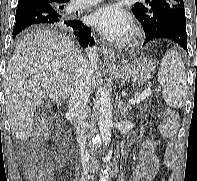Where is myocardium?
I'll list each match as a JSON object with an SVG mask.
<instances>
[{
    "instance_id": "f54148a6",
    "label": "myocardium",
    "mask_w": 197,
    "mask_h": 181,
    "mask_svg": "<svg viewBox=\"0 0 197 181\" xmlns=\"http://www.w3.org/2000/svg\"><path fill=\"white\" fill-rule=\"evenodd\" d=\"M142 39V34L139 29L134 28L131 30L127 38L124 40L123 45L127 47L137 46Z\"/></svg>"
}]
</instances>
